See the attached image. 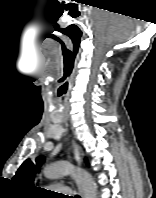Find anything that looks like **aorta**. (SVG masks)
Returning <instances> with one entry per match:
<instances>
[{
	"label": "aorta",
	"mask_w": 156,
	"mask_h": 198,
	"mask_svg": "<svg viewBox=\"0 0 156 198\" xmlns=\"http://www.w3.org/2000/svg\"><path fill=\"white\" fill-rule=\"evenodd\" d=\"M43 173L48 179H56L64 175L72 174L81 186L84 198H97L96 183L92 176L85 170L77 169L64 162H59L46 166Z\"/></svg>",
	"instance_id": "1"
}]
</instances>
